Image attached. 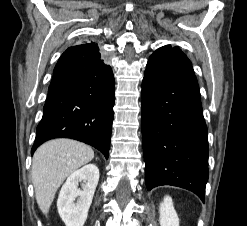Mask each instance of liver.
Instances as JSON below:
<instances>
[{"mask_svg": "<svg viewBox=\"0 0 247 226\" xmlns=\"http://www.w3.org/2000/svg\"><path fill=\"white\" fill-rule=\"evenodd\" d=\"M94 158V151L71 139H55L41 145L32 162V183L37 204L47 216L55 194L64 180Z\"/></svg>", "mask_w": 247, "mask_h": 226, "instance_id": "1", "label": "liver"}]
</instances>
